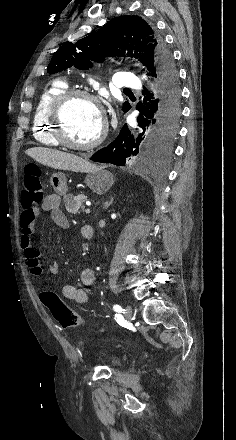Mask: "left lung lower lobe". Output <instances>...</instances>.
Listing matches in <instances>:
<instances>
[{"instance_id": "obj_1", "label": "left lung lower lobe", "mask_w": 236, "mask_h": 440, "mask_svg": "<svg viewBox=\"0 0 236 440\" xmlns=\"http://www.w3.org/2000/svg\"><path fill=\"white\" fill-rule=\"evenodd\" d=\"M146 69L152 90H145L144 97L136 106L140 112L138 127L129 130L125 124L118 137L90 160L124 166L127 160L146 155L158 156L167 150L177 133L181 115L178 73L173 59L169 63L149 64Z\"/></svg>"}]
</instances>
